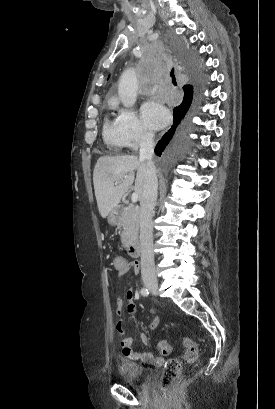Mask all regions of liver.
I'll use <instances>...</instances> for the list:
<instances>
[{
  "mask_svg": "<svg viewBox=\"0 0 275 409\" xmlns=\"http://www.w3.org/2000/svg\"><path fill=\"white\" fill-rule=\"evenodd\" d=\"M146 166L145 158H138L134 154L98 158L93 172V182L98 211L103 219H106L114 207H118L123 194L134 182L135 170H137V176L134 190L141 200ZM116 180L118 184H115Z\"/></svg>",
  "mask_w": 275,
  "mask_h": 409,
  "instance_id": "6515ba94",
  "label": "liver"
}]
</instances>
